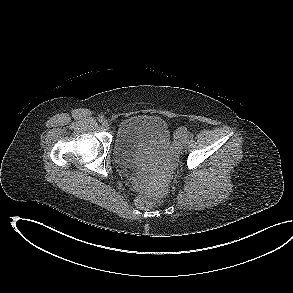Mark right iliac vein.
<instances>
[{"label": "right iliac vein", "mask_w": 293, "mask_h": 293, "mask_svg": "<svg viewBox=\"0 0 293 293\" xmlns=\"http://www.w3.org/2000/svg\"><path fill=\"white\" fill-rule=\"evenodd\" d=\"M102 125L105 127V128H109V126H110V124H109V122L107 121V120H103V122H102Z\"/></svg>", "instance_id": "1"}]
</instances>
